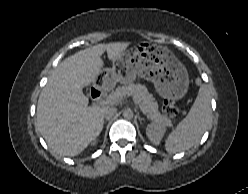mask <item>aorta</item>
Returning a JSON list of instances; mask_svg holds the SVG:
<instances>
[{
	"mask_svg": "<svg viewBox=\"0 0 248 194\" xmlns=\"http://www.w3.org/2000/svg\"><path fill=\"white\" fill-rule=\"evenodd\" d=\"M133 116H134V114H133V111H132L131 109H126V110H124V112H123V117H124L125 119H132Z\"/></svg>",
	"mask_w": 248,
	"mask_h": 194,
	"instance_id": "762f6f07",
	"label": "aorta"
}]
</instances>
